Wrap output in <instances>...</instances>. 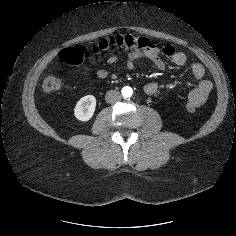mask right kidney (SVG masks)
<instances>
[{
  "mask_svg": "<svg viewBox=\"0 0 236 236\" xmlns=\"http://www.w3.org/2000/svg\"><path fill=\"white\" fill-rule=\"evenodd\" d=\"M96 108V98L93 95L82 97L74 108V115L79 121H88L93 117Z\"/></svg>",
  "mask_w": 236,
  "mask_h": 236,
  "instance_id": "obj_1",
  "label": "right kidney"
}]
</instances>
